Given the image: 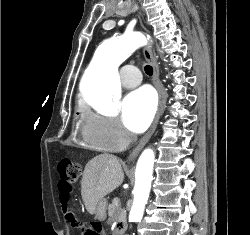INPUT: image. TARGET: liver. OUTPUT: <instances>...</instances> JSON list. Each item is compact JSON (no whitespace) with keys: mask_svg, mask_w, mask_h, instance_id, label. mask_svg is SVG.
<instances>
[{"mask_svg":"<svg viewBox=\"0 0 250 235\" xmlns=\"http://www.w3.org/2000/svg\"><path fill=\"white\" fill-rule=\"evenodd\" d=\"M124 180V173L118 158L101 154L85 166L81 181V195L86 210L95 213L99 200L118 188Z\"/></svg>","mask_w":250,"mask_h":235,"instance_id":"obj_1","label":"liver"}]
</instances>
